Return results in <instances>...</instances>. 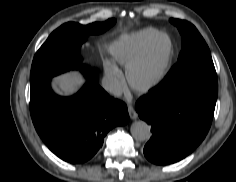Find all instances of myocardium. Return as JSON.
<instances>
[{
	"label": "myocardium",
	"instance_id": "f54148a6",
	"mask_svg": "<svg viewBox=\"0 0 236 182\" xmlns=\"http://www.w3.org/2000/svg\"><path fill=\"white\" fill-rule=\"evenodd\" d=\"M161 38H167L169 41V52H168V56H167L164 66L152 79L148 81H137L134 78L135 72L148 59L156 42ZM174 55H175V46L171 37L167 33H158L151 40V42L149 43L147 48L144 50V52L126 67V78L129 85L138 92L148 91L156 87L166 77L167 73L169 72L172 66Z\"/></svg>",
	"mask_w": 236,
	"mask_h": 182
}]
</instances>
